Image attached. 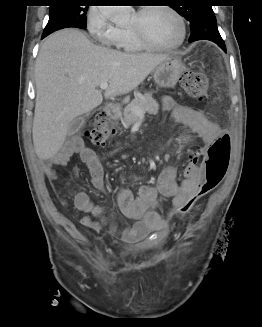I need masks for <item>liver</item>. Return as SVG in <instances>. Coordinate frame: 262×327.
Listing matches in <instances>:
<instances>
[{
  "mask_svg": "<svg viewBox=\"0 0 262 327\" xmlns=\"http://www.w3.org/2000/svg\"><path fill=\"white\" fill-rule=\"evenodd\" d=\"M165 54L123 53L93 44L77 29H63L45 39L35 64L36 103L33 145L41 160L61 149L70 123L98 107L97 87L109 83L106 99L136 89Z\"/></svg>",
  "mask_w": 262,
  "mask_h": 327,
  "instance_id": "liver-1",
  "label": "liver"
}]
</instances>
